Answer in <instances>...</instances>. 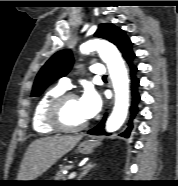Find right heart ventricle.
I'll return each mask as SVG.
<instances>
[{
    "label": "right heart ventricle",
    "mask_w": 178,
    "mask_h": 186,
    "mask_svg": "<svg viewBox=\"0 0 178 186\" xmlns=\"http://www.w3.org/2000/svg\"><path fill=\"white\" fill-rule=\"evenodd\" d=\"M65 89L60 85L47 91L36 103L32 114V127L39 134H52L55 132L45 121V113L50 102L64 93Z\"/></svg>",
    "instance_id": "e07e8e85"
}]
</instances>
